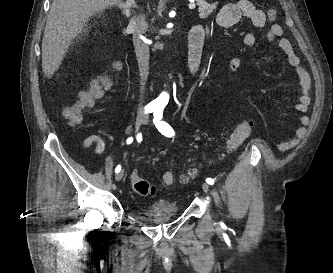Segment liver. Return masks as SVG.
Listing matches in <instances>:
<instances>
[{
  "label": "liver",
  "mask_w": 333,
  "mask_h": 273,
  "mask_svg": "<svg viewBox=\"0 0 333 273\" xmlns=\"http://www.w3.org/2000/svg\"><path fill=\"white\" fill-rule=\"evenodd\" d=\"M121 0H53L42 40V69L53 76L88 20Z\"/></svg>",
  "instance_id": "6515ba94"
}]
</instances>
